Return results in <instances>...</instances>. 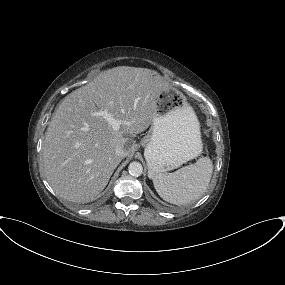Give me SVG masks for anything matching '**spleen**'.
<instances>
[{"mask_svg":"<svg viewBox=\"0 0 285 285\" xmlns=\"http://www.w3.org/2000/svg\"><path fill=\"white\" fill-rule=\"evenodd\" d=\"M213 172L209 157L184 166L173 173L154 176L153 184L159 196L175 205H185L199 199L206 191Z\"/></svg>","mask_w":285,"mask_h":285,"instance_id":"3e777b00","label":"spleen"}]
</instances>
